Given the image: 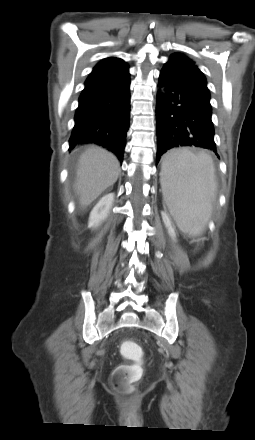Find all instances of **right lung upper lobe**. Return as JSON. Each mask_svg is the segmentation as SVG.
I'll use <instances>...</instances> for the list:
<instances>
[{"mask_svg": "<svg viewBox=\"0 0 255 440\" xmlns=\"http://www.w3.org/2000/svg\"><path fill=\"white\" fill-rule=\"evenodd\" d=\"M126 66V63L116 57H108L100 61L90 73L86 81H90L102 76H105L115 70H118Z\"/></svg>", "mask_w": 255, "mask_h": 440, "instance_id": "1", "label": "right lung upper lobe"}]
</instances>
